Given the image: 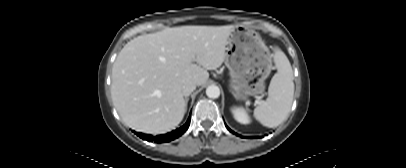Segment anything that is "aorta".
I'll return each mask as SVG.
<instances>
[{"mask_svg": "<svg viewBox=\"0 0 406 168\" xmlns=\"http://www.w3.org/2000/svg\"><path fill=\"white\" fill-rule=\"evenodd\" d=\"M206 95H207L209 98H213V99L218 98V97L220 96V89H219V87L216 86V85H210V86H208L207 89H206Z\"/></svg>", "mask_w": 406, "mask_h": 168, "instance_id": "1", "label": "aorta"}]
</instances>
